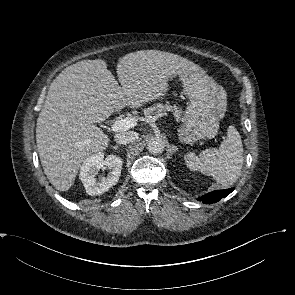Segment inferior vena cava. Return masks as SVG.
Returning a JSON list of instances; mask_svg holds the SVG:
<instances>
[{"label":"inferior vena cava","instance_id":"602c4592","mask_svg":"<svg viewBox=\"0 0 295 295\" xmlns=\"http://www.w3.org/2000/svg\"><path fill=\"white\" fill-rule=\"evenodd\" d=\"M139 134L134 131H127L122 133H117L115 135V141L118 144L126 145L131 142L138 140Z\"/></svg>","mask_w":295,"mask_h":295}]
</instances>
